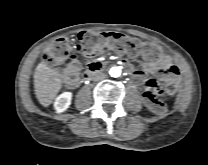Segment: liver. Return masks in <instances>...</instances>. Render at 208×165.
Returning <instances> with one entry per match:
<instances>
[{
	"label": "liver",
	"mask_w": 208,
	"mask_h": 165,
	"mask_svg": "<svg viewBox=\"0 0 208 165\" xmlns=\"http://www.w3.org/2000/svg\"><path fill=\"white\" fill-rule=\"evenodd\" d=\"M61 87L60 73L44 62L39 63L34 73V88L39 103L44 107L49 106Z\"/></svg>",
	"instance_id": "1"
}]
</instances>
